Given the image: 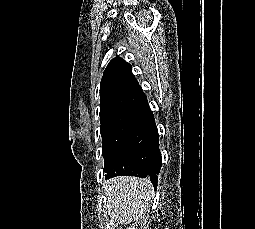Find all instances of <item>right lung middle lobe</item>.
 Listing matches in <instances>:
<instances>
[{"label":"right lung middle lobe","mask_w":255,"mask_h":229,"mask_svg":"<svg viewBox=\"0 0 255 229\" xmlns=\"http://www.w3.org/2000/svg\"><path fill=\"white\" fill-rule=\"evenodd\" d=\"M102 155L106 176L147 167L158 135L125 114L101 126Z\"/></svg>","instance_id":"right-lung-middle-lobe-1"}]
</instances>
